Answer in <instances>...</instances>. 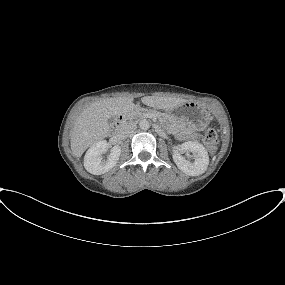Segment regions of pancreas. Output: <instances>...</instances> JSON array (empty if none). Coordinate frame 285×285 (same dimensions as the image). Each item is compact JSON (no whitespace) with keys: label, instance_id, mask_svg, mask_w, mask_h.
Listing matches in <instances>:
<instances>
[{"label":"pancreas","instance_id":"1","mask_svg":"<svg viewBox=\"0 0 285 285\" xmlns=\"http://www.w3.org/2000/svg\"><path fill=\"white\" fill-rule=\"evenodd\" d=\"M147 115H152V116L158 117L159 119H162V120L169 119V122L171 123V125H170L171 128L178 127L179 123H180L176 118L168 117L165 114L149 111L146 109H139V108H136L131 112L130 118L134 119L137 117H146Z\"/></svg>","mask_w":285,"mask_h":285}]
</instances>
